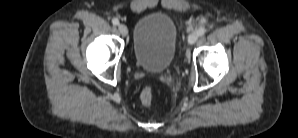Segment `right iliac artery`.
I'll return each instance as SVG.
<instances>
[{
  "label": "right iliac artery",
  "instance_id": "82829eb1",
  "mask_svg": "<svg viewBox=\"0 0 298 138\" xmlns=\"http://www.w3.org/2000/svg\"><path fill=\"white\" fill-rule=\"evenodd\" d=\"M112 23H113V25H119V20L116 19V18H114V19L112 20Z\"/></svg>",
  "mask_w": 298,
  "mask_h": 138
}]
</instances>
